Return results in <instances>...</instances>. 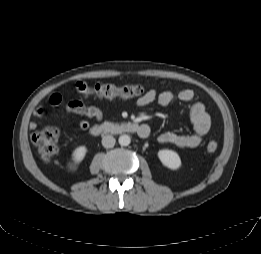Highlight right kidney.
I'll return each instance as SVG.
<instances>
[{
    "mask_svg": "<svg viewBox=\"0 0 261 254\" xmlns=\"http://www.w3.org/2000/svg\"><path fill=\"white\" fill-rule=\"evenodd\" d=\"M86 153H87L86 146H79L73 151L72 160L74 161L75 164H80L85 158Z\"/></svg>",
    "mask_w": 261,
    "mask_h": 254,
    "instance_id": "right-kidney-1",
    "label": "right kidney"
}]
</instances>
